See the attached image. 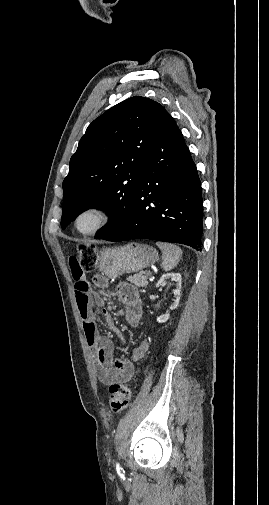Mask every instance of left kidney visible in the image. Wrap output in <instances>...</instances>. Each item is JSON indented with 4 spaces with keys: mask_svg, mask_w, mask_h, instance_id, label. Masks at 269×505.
I'll return each mask as SVG.
<instances>
[{
    "mask_svg": "<svg viewBox=\"0 0 269 505\" xmlns=\"http://www.w3.org/2000/svg\"><path fill=\"white\" fill-rule=\"evenodd\" d=\"M174 280L176 282V288L173 291L174 293V299L172 302V305L170 307L171 310H174L178 307L179 301H180V296H181V284H182V276L180 273H167L162 275L160 280L157 282L156 287L161 286L163 283H165L166 280ZM170 314L166 313L164 315H161L157 318L158 323H165L168 321Z\"/></svg>",
    "mask_w": 269,
    "mask_h": 505,
    "instance_id": "left-kidney-1",
    "label": "left kidney"
}]
</instances>
